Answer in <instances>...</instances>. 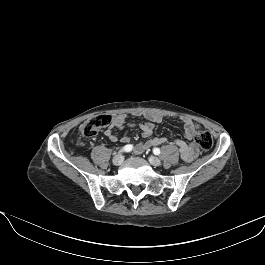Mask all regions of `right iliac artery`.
<instances>
[{
	"mask_svg": "<svg viewBox=\"0 0 265 265\" xmlns=\"http://www.w3.org/2000/svg\"><path fill=\"white\" fill-rule=\"evenodd\" d=\"M132 149H133V146L130 145V144H128V145H125V146L120 150V152H130V151H132Z\"/></svg>",
	"mask_w": 265,
	"mask_h": 265,
	"instance_id": "right-iliac-artery-1",
	"label": "right iliac artery"
}]
</instances>
